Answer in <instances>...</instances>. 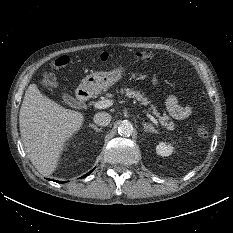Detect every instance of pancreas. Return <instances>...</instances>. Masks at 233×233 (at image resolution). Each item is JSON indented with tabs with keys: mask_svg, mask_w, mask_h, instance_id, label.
I'll return each mask as SVG.
<instances>
[{
	"mask_svg": "<svg viewBox=\"0 0 233 233\" xmlns=\"http://www.w3.org/2000/svg\"><path fill=\"white\" fill-rule=\"evenodd\" d=\"M121 94H126V96H128L129 98H136L137 101L141 102L142 105H148L150 104V101H148V99L143 95L141 94L140 92L138 91H134L133 89H121L120 91ZM151 108L153 110V114L156 115V117L159 118L160 122L162 125L166 126V128L168 130H173L174 129V123L171 121V118L164 115V116H161L157 110H156V107H154L153 105H150Z\"/></svg>",
	"mask_w": 233,
	"mask_h": 233,
	"instance_id": "pancreas-1",
	"label": "pancreas"
}]
</instances>
